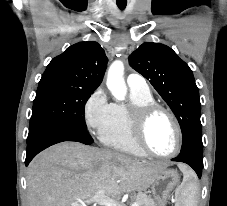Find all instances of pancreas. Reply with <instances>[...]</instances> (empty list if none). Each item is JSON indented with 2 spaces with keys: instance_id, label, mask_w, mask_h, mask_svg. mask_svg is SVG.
<instances>
[{
  "instance_id": "obj_1",
  "label": "pancreas",
  "mask_w": 227,
  "mask_h": 206,
  "mask_svg": "<svg viewBox=\"0 0 227 206\" xmlns=\"http://www.w3.org/2000/svg\"><path fill=\"white\" fill-rule=\"evenodd\" d=\"M134 203H137L138 206H156L155 201L151 198V196L141 192L136 195Z\"/></svg>"
}]
</instances>
